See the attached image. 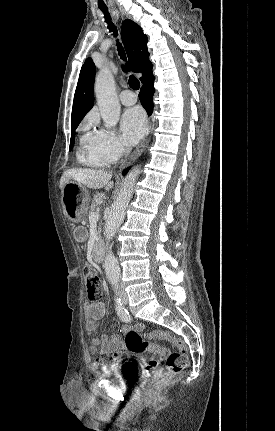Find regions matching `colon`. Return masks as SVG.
I'll list each match as a JSON object with an SVG mask.
<instances>
[{"label": "colon", "instance_id": "obj_1", "mask_svg": "<svg viewBox=\"0 0 275 431\" xmlns=\"http://www.w3.org/2000/svg\"><path fill=\"white\" fill-rule=\"evenodd\" d=\"M84 278L87 286V292L90 299H98L103 292V283L100 273L91 266H85ZM148 338H155L161 341H167L176 346L179 351L170 353L165 348L152 344L137 331L131 330L125 336L126 348L132 353H144L147 351L156 352L162 359H166L165 368H159L155 359H150L146 365V373L151 377L146 386L148 393L152 394L161 390L170 380L172 375L181 372L188 365V355L185 343L169 333L156 330L147 335ZM100 361L109 362L107 356H101Z\"/></svg>", "mask_w": 275, "mask_h": 431}]
</instances>
